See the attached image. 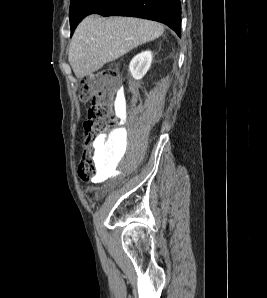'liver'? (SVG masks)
I'll return each mask as SVG.
<instances>
[{"instance_id":"liver-1","label":"liver","mask_w":267,"mask_h":298,"mask_svg":"<svg viewBox=\"0 0 267 298\" xmlns=\"http://www.w3.org/2000/svg\"><path fill=\"white\" fill-rule=\"evenodd\" d=\"M157 22L131 18L89 15L76 28L68 61L79 79L90 75L133 48L163 34Z\"/></svg>"}]
</instances>
